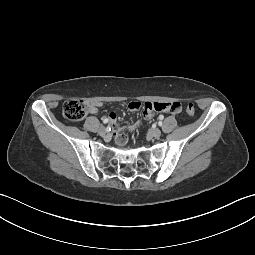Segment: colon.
<instances>
[{
	"instance_id": "5ec220e1",
	"label": "colon",
	"mask_w": 255,
	"mask_h": 255,
	"mask_svg": "<svg viewBox=\"0 0 255 255\" xmlns=\"http://www.w3.org/2000/svg\"><path fill=\"white\" fill-rule=\"evenodd\" d=\"M185 111L188 116L192 117L195 114V109L192 103L186 105ZM88 113L87 104L80 99H71L65 102L63 106V115L66 119L78 122L85 118Z\"/></svg>"
}]
</instances>
